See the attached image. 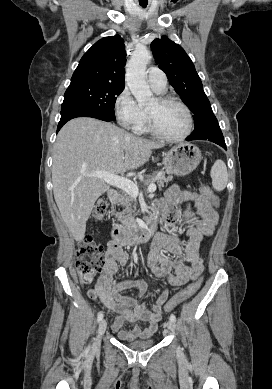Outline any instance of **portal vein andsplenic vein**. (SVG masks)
<instances>
[{"mask_svg":"<svg viewBox=\"0 0 272 389\" xmlns=\"http://www.w3.org/2000/svg\"><path fill=\"white\" fill-rule=\"evenodd\" d=\"M88 177H97L104 182L115 186L126 193H128L131 197H137L139 194V189L137 184H135L133 181L126 179L124 177L112 174L110 172L106 171H96L90 174H86ZM156 190V185L154 181L148 186L147 191L152 193L155 192Z\"/></svg>","mask_w":272,"mask_h":389,"instance_id":"1","label":"portal vein and splenic vein"}]
</instances>
